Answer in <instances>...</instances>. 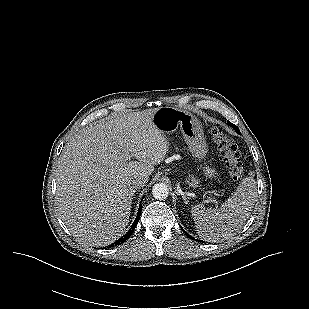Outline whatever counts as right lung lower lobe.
I'll return each instance as SVG.
<instances>
[{"label":"right lung lower lobe","mask_w":309,"mask_h":309,"mask_svg":"<svg viewBox=\"0 0 309 309\" xmlns=\"http://www.w3.org/2000/svg\"><path fill=\"white\" fill-rule=\"evenodd\" d=\"M141 210H142V204L139 205V210H138L137 217L134 220V223L131 226V228L129 229V231L125 235H123L121 238H119L116 242L111 244L110 247L117 246V245H120V244L124 243L131 236V234L133 233V231L136 228V225H137V223L139 221V218H140V215H141L140 214Z\"/></svg>","instance_id":"1"}]
</instances>
